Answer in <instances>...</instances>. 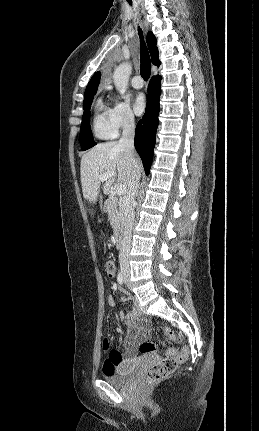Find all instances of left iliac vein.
<instances>
[{"instance_id":"1","label":"left iliac vein","mask_w":259,"mask_h":431,"mask_svg":"<svg viewBox=\"0 0 259 431\" xmlns=\"http://www.w3.org/2000/svg\"><path fill=\"white\" fill-rule=\"evenodd\" d=\"M125 282H126V283L128 282L127 277L125 278Z\"/></svg>"}]
</instances>
